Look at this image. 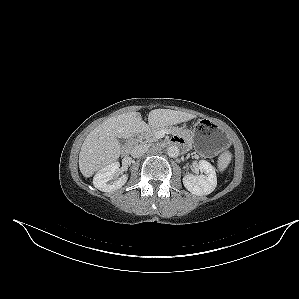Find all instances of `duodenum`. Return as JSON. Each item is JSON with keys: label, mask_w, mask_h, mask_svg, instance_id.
I'll return each instance as SVG.
<instances>
[{"label": "duodenum", "mask_w": 299, "mask_h": 299, "mask_svg": "<svg viewBox=\"0 0 299 299\" xmlns=\"http://www.w3.org/2000/svg\"><path fill=\"white\" fill-rule=\"evenodd\" d=\"M180 142V140L178 138H174L172 139V143H177ZM135 145V140L134 139H130L123 147L122 153L124 155H127L129 153V151L131 150V148Z\"/></svg>", "instance_id": "1"}]
</instances>
